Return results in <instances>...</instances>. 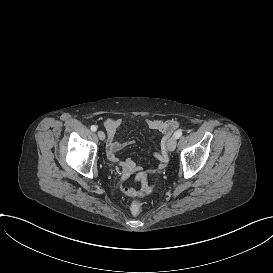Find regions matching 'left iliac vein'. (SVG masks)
Returning <instances> with one entry per match:
<instances>
[{"mask_svg": "<svg viewBox=\"0 0 273 273\" xmlns=\"http://www.w3.org/2000/svg\"><path fill=\"white\" fill-rule=\"evenodd\" d=\"M176 143H177V138L175 137H171L169 140H168V143H167V148L170 152L174 151L175 148H176Z\"/></svg>", "mask_w": 273, "mask_h": 273, "instance_id": "left-iliac-vein-1", "label": "left iliac vein"}]
</instances>
